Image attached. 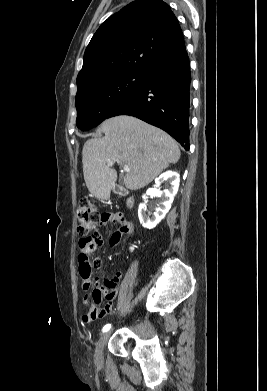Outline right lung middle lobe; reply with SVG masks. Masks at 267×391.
<instances>
[{"mask_svg":"<svg viewBox=\"0 0 267 391\" xmlns=\"http://www.w3.org/2000/svg\"><path fill=\"white\" fill-rule=\"evenodd\" d=\"M144 78V72L123 71L89 80L77 91V127L86 131L99 125L141 88Z\"/></svg>","mask_w":267,"mask_h":391,"instance_id":"1","label":"right lung middle lobe"}]
</instances>
